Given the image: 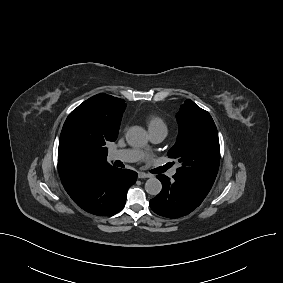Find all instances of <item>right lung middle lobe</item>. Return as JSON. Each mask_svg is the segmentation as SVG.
<instances>
[{
	"label": "right lung middle lobe",
	"instance_id": "dd1d6c3e",
	"mask_svg": "<svg viewBox=\"0 0 283 283\" xmlns=\"http://www.w3.org/2000/svg\"><path fill=\"white\" fill-rule=\"evenodd\" d=\"M120 122L108 127L91 108L83 103L67 117L59 140V150L72 159L89 162L107 158L108 141H115Z\"/></svg>",
	"mask_w": 283,
	"mask_h": 283
}]
</instances>
